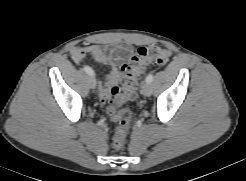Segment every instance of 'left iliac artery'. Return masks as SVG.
Returning <instances> with one entry per match:
<instances>
[{"label":"left iliac artery","mask_w":246,"mask_h":181,"mask_svg":"<svg viewBox=\"0 0 246 181\" xmlns=\"http://www.w3.org/2000/svg\"><path fill=\"white\" fill-rule=\"evenodd\" d=\"M153 78H154L153 74H149V75L146 77L145 81H146L147 83H150V82L153 81Z\"/></svg>","instance_id":"1"}]
</instances>
